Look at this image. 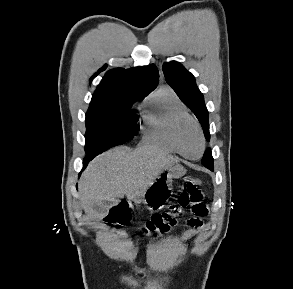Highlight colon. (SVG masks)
Instances as JSON below:
<instances>
[{"instance_id": "obj_1", "label": "colon", "mask_w": 293, "mask_h": 289, "mask_svg": "<svg viewBox=\"0 0 293 289\" xmlns=\"http://www.w3.org/2000/svg\"><path fill=\"white\" fill-rule=\"evenodd\" d=\"M201 182L195 178L186 177L183 189L175 194L173 202L168 209L162 213L153 215L147 220L141 231L144 234H163L168 232L175 224L176 219L185 212L190 211L195 216L201 218L208 215V206L204 202L203 192L200 189ZM128 220V213L123 204L116 206L106 217V222L110 225H121ZM195 219L188 221L189 225H194Z\"/></svg>"}]
</instances>
